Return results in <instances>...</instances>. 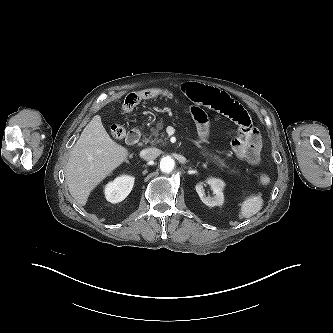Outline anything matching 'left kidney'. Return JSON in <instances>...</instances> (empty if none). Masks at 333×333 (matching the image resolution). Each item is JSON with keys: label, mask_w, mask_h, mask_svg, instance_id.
<instances>
[{"label": "left kidney", "mask_w": 333, "mask_h": 333, "mask_svg": "<svg viewBox=\"0 0 333 333\" xmlns=\"http://www.w3.org/2000/svg\"><path fill=\"white\" fill-rule=\"evenodd\" d=\"M206 183L211 186V189L213 190L214 196L210 197L205 195L203 183H198L195 186L196 192L198 193L201 201L209 206H221L224 203V195H223V189L225 186L224 181L218 178H209L206 180Z\"/></svg>", "instance_id": "obj_1"}]
</instances>
